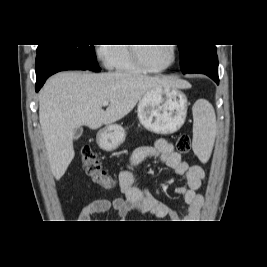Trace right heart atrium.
Returning <instances> with one entry per match:
<instances>
[{"instance_id": "obj_1", "label": "right heart atrium", "mask_w": 267, "mask_h": 267, "mask_svg": "<svg viewBox=\"0 0 267 267\" xmlns=\"http://www.w3.org/2000/svg\"><path fill=\"white\" fill-rule=\"evenodd\" d=\"M95 53L99 60H101L106 67H110L111 65V57H112V47L109 44L102 43L96 45Z\"/></svg>"}]
</instances>
